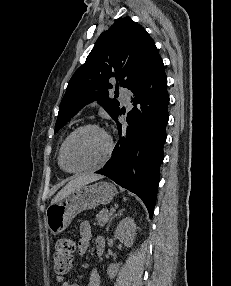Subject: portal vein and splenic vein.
<instances>
[{"label":"portal vein and splenic vein","mask_w":231,"mask_h":286,"mask_svg":"<svg viewBox=\"0 0 231 286\" xmlns=\"http://www.w3.org/2000/svg\"><path fill=\"white\" fill-rule=\"evenodd\" d=\"M110 211H111V212H114V211H115V208H114V207H112V208L110 209Z\"/></svg>","instance_id":"18ae733b"}]
</instances>
